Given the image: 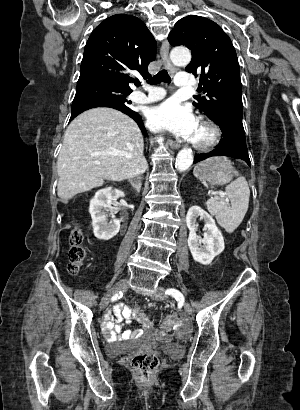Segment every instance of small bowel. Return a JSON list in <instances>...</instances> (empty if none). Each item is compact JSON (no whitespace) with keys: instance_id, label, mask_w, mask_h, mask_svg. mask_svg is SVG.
I'll return each instance as SVG.
<instances>
[{"instance_id":"c3829d8e","label":"small bowel","mask_w":300,"mask_h":410,"mask_svg":"<svg viewBox=\"0 0 300 410\" xmlns=\"http://www.w3.org/2000/svg\"><path fill=\"white\" fill-rule=\"evenodd\" d=\"M131 320L141 323L142 328L134 332L123 330L124 323H129ZM151 326L152 323L148 318L122 303H118L107 310L102 321L103 334L110 341H116L120 338L139 337Z\"/></svg>"}]
</instances>
